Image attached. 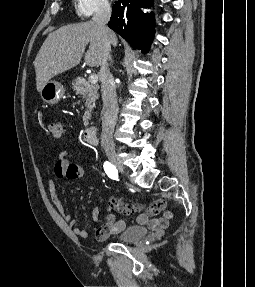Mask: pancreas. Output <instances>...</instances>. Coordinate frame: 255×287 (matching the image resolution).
Returning <instances> with one entry per match:
<instances>
[{
	"label": "pancreas",
	"mask_w": 255,
	"mask_h": 287,
	"mask_svg": "<svg viewBox=\"0 0 255 287\" xmlns=\"http://www.w3.org/2000/svg\"><path fill=\"white\" fill-rule=\"evenodd\" d=\"M72 88L77 96H82L83 100H85V108L87 110L83 116V122L84 126H87L90 112L95 108V102L99 98V86L98 84L86 82L85 78H77V80H73Z\"/></svg>",
	"instance_id": "pancreas-1"
}]
</instances>
